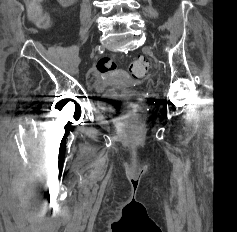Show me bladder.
<instances>
[{
  "instance_id": "obj_1",
  "label": "bladder",
  "mask_w": 237,
  "mask_h": 232,
  "mask_svg": "<svg viewBox=\"0 0 237 232\" xmlns=\"http://www.w3.org/2000/svg\"><path fill=\"white\" fill-rule=\"evenodd\" d=\"M111 97H109L108 99H105L101 102V107L104 111H113L115 110L116 107V103L114 100V92H111Z\"/></svg>"
}]
</instances>
